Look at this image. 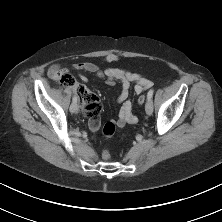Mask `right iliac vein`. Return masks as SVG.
I'll list each match as a JSON object with an SVG mask.
<instances>
[{
    "mask_svg": "<svg viewBox=\"0 0 222 222\" xmlns=\"http://www.w3.org/2000/svg\"><path fill=\"white\" fill-rule=\"evenodd\" d=\"M70 111H71L72 113H77V112H78V106H77V104H76L75 102H73V103L71 104V106H70Z\"/></svg>",
    "mask_w": 222,
    "mask_h": 222,
    "instance_id": "obj_1",
    "label": "right iliac vein"
}]
</instances>
